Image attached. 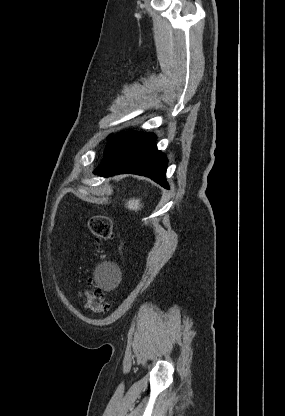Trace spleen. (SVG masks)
<instances>
[{"label":"spleen","instance_id":"spleen-1","mask_svg":"<svg viewBox=\"0 0 285 416\" xmlns=\"http://www.w3.org/2000/svg\"><path fill=\"white\" fill-rule=\"evenodd\" d=\"M126 208H128V210H135V212H138V210H141L142 208L141 200H134V198H131V200H128Z\"/></svg>","mask_w":285,"mask_h":416}]
</instances>
